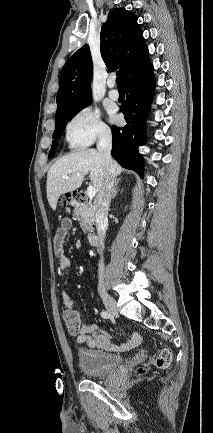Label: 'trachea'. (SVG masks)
I'll return each instance as SVG.
<instances>
[{
	"instance_id": "3493384b",
	"label": "trachea",
	"mask_w": 213,
	"mask_h": 433,
	"mask_svg": "<svg viewBox=\"0 0 213 433\" xmlns=\"http://www.w3.org/2000/svg\"><path fill=\"white\" fill-rule=\"evenodd\" d=\"M116 84H117V86H118L119 89L123 88V85L121 83V77H117L116 78Z\"/></svg>"
}]
</instances>
